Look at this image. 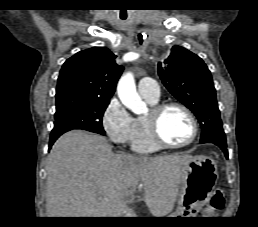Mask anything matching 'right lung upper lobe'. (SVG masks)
I'll use <instances>...</instances> for the list:
<instances>
[{"instance_id": "obj_1", "label": "right lung upper lobe", "mask_w": 258, "mask_h": 227, "mask_svg": "<svg viewBox=\"0 0 258 227\" xmlns=\"http://www.w3.org/2000/svg\"><path fill=\"white\" fill-rule=\"evenodd\" d=\"M115 58L105 47H93L73 55L60 71L56 98L75 95L109 101L123 71V67L115 63Z\"/></svg>"}]
</instances>
